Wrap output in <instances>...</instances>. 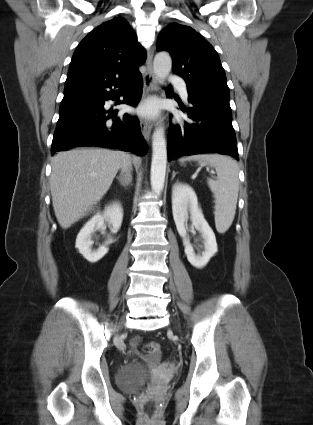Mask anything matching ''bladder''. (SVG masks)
Wrapping results in <instances>:
<instances>
[{
    "mask_svg": "<svg viewBox=\"0 0 313 425\" xmlns=\"http://www.w3.org/2000/svg\"><path fill=\"white\" fill-rule=\"evenodd\" d=\"M148 366L140 363H130L118 370L117 386L124 390H135L142 387L150 379Z\"/></svg>",
    "mask_w": 313,
    "mask_h": 425,
    "instance_id": "obj_1",
    "label": "bladder"
}]
</instances>
